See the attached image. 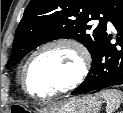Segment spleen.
<instances>
[{"mask_svg": "<svg viewBox=\"0 0 123 113\" xmlns=\"http://www.w3.org/2000/svg\"><path fill=\"white\" fill-rule=\"evenodd\" d=\"M106 100V113H113L119 108L120 104L123 102V93L115 89H106L97 93Z\"/></svg>", "mask_w": 123, "mask_h": 113, "instance_id": "3e777b00", "label": "spleen"}]
</instances>
